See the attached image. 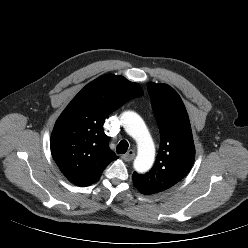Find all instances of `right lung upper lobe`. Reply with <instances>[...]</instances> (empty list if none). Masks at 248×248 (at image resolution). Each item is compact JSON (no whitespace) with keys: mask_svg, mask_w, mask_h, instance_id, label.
Wrapping results in <instances>:
<instances>
[{"mask_svg":"<svg viewBox=\"0 0 248 248\" xmlns=\"http://www.w3.org/2000/svg\"><path fill=\"white\" fill-rule=\"evenodd\" d=\"M143 95L137 83L107 74L88 83L58 118L51 136V153L73 184L89 186L118 157L108 147L105 117L132 98Z\"/></svg>","mask_w":248,"mask_h":248,"instance_id":"right-lung-upper-lobe-1","label":"right lung upper lobe"}]
</instances>
